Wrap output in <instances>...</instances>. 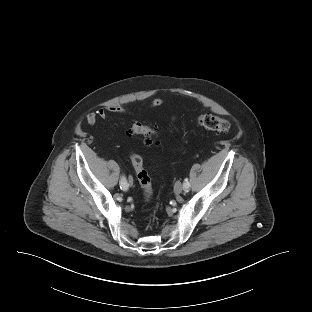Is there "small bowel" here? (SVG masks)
I'll use <instances>...</instances> for the list:
<instances>
[{"mask_svg":"<svg viewBox=\"0 0 312 312\" xmlns=\"http://www.w3.org/2000/svg\"><path fill=\"white\" fill-rule=\"evenodd\" d=\"M164 103L163 99L156 98L152 100L151 107H159ZM129 110L126 107L120 105H110L107 107H103L98 109L95 112H90L87 117L86 121L89 125H95L99 119L105 120L107 119L109 114H128Z\"/></svg>","mask_w":312,"mask_h":312,"instance_id":"small-bowel-1","label":"small bowel"}]
</instances>
